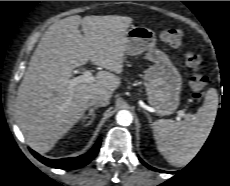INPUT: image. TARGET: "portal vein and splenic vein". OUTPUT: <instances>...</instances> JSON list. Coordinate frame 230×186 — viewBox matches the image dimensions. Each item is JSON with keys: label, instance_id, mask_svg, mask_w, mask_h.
Segmentation results:
<instances>
[{"label": "portal vein and splenic vein", "instance_id": "1", "mask_svg": "<svg viewBox=\"0 0 230 186\" xmlns=\"http://www.w3.org/2000/svg\"><path fill=\"white\" fill-rule=\"evenodd\" d=\"M95 81L94 76L92 75L90 70H85L82 75L77 76L68 81L70 89L72 90L76 85L80 83H93ZM178 119L186 116V113L183 110H179L177 112Z\"/></svg>", "mask_w": 230, "mask_h": 186}]
</instances>
